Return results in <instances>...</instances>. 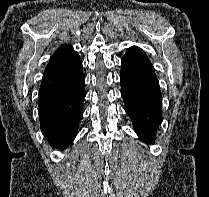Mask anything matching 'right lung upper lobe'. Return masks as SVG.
Returning a JSON list of instances; mask_svg holds the SVG:
<instances>
[{"label":"right lung upper lobe","mask_w":209,"mask_h":197,"mask_svg":"<svg viewBox=\"0 0 209 197\" xmlns=\"http://www.w3.org/2000/svg\"><path fill=\"white\" fill-rule=\"evenodd\" d=\"M72 52H74V50L71 45H62L61 47H59L52 55L45 71L51 69L52 67L59 64L61 61L65 60Z\"/></svg>","instance_id":"1"}]
</instances>
